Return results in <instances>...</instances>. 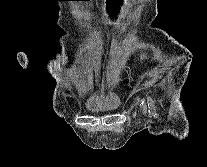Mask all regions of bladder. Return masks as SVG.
Listing matches in <instances>:
<instances>
[{
  "mask_svg": "<svg viewBox=\"0 0 207 167\" xmlns=\"http://www.w3.org/2000/svg\"><path fill=\"white\" fill-rule=\"evenodd\" d=\"M118 97H105L102 99L92 100L86 104V108L90 112L102 113L106 111L116 110L120 106Z\"/></svg>",
  "mask_w": 207,
  "mask_h": 167,
  "instance_id": "1",
  "label": "bladder"
}]
</instances>
